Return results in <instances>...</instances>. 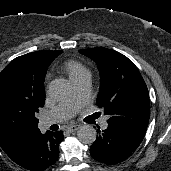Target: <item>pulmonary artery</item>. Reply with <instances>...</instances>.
Here are the masks:
<instances>
[{"label": "pulmonary artery", "instance_id": "obj_1", "mask_svg": "<svg viewBox=\"0 0 171 171\" xmlns=\"http://www.w3.org/2000/svg\"><path fill=\"white\" fill-rule=\"evenodd\" d=\"M72 82L74 85L73 96L68 101L58 104L46 113L42 118V122L45 125H51L71 118L88 101L91 85L90 74L84 75ZM100 125L103 129L107 128L108 122L106 117L101 119Z\"/></svg>", "mask_w": 171, "mask_h": 171}]
</instances>
